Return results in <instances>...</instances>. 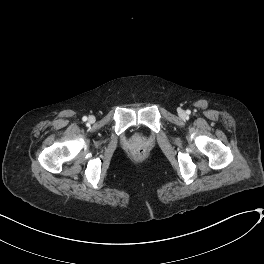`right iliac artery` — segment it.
I'll return each instance as SVG.
<instances>
[{
    "mask_svg": "<svg viewBox=\"0 0 264 264\" xmlns=\"http://www.w3.org/2000/svg\"><path fill=\"white\" fill-rule=\"evenodd\" d=\"M82 120H83V121H87V117L84 116V117L82 118Z\"/></svg>",
    "mask_w": 264,
    "mask_h": 264,
    "instance_id": "obj_1",
    "label": "right iliac artery"
}]
</instances>
